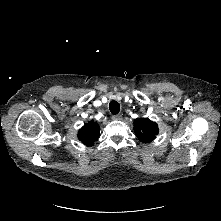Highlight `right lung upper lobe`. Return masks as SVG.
<instances>
[{
	"mask_svg": "<svg viewBox=\"0 0 221 221\" xmlns=\"http://www.w3.org/2000/svg\"><path fill=\"white\" fill-rule=\"evenodd\" d=\"M99 133V125L91 120L79 130L78 138L83 144L87 146H92L99 137Z\"/></svg>",
	"mask_w": 221,
	"mask_h": 221,
	"instance_id": "right-lung-upper-lobe-1",
	"label": "right lung upper lobe"
}]
</instances>
